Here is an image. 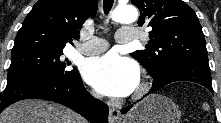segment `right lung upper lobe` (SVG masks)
Segmentation results:
<instances>
[{
  "mask_svg": "<svg viewBox=\"0 0 221 123\" xmlns=\"http://www.w3.org/2000/svg\"><path fill=\"white\" fill-rule=\"evenodd\" d=\"M98 0H39L17 33L12 52L27 49L63 50L79 39L85 19L94 17Z\"/></svg>",
  "mask_w": 221,
  "mask_h": 123,
  "instance_id": "1",
  "label": "right lung upper lobe"
}]
</instances>
